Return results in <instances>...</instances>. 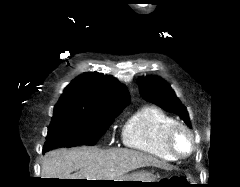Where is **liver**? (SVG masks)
I'll return each instance as SVG.
<instances>
[{
  "mask_svg": "<svg viewBox=\"0 0 240 187\" xmlns=\"http://www.w3.org/2000/svg\"><path fill=\"white\" fill-rule=\"evenodd\" d=\"M146 166L164 167V164L150 155L128 149L61 148L44 155L41 178L117 180L129 171Z\"/></svg>",
  "mask_w": 240,
  "mask_h": 187,
  "instance_id": "liver-1",
  "label": "liver"
}]
</instances>
